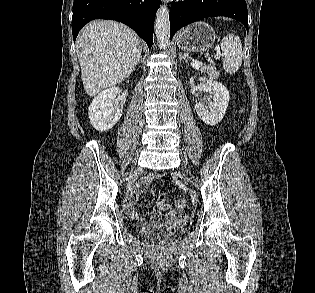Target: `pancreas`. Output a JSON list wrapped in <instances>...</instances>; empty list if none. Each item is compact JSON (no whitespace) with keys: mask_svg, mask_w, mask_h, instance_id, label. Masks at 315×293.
Instances as JSON below:
<instances>
[{"mask_svg":"<svg viewBox=\"0 0 315 293\" xmlns=\"http://www.w3.org/2000/svg\"><path fill=\"white\" fill-rule=\"evenodd\" d=\"M200 71L206 73L209 77L212 78H218L220 74L219 71H217L216 67L211 65H203L200 68Z\"/></svg>","mask_w":315,"mask_h":293,"instance_id":"1","label":"pancreas"}]
</instances>
